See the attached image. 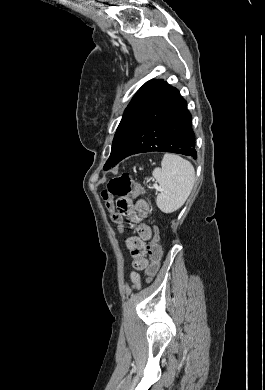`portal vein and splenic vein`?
<instances>
[{
	"label": "portal vein and splenic vein",
	"instance_id": "obj_1",
	"mask_svg": "<svg viewBox=\"0 0 265 390\" xmlns=\"http://www.w3.org/2000/svg\"><path fill=\"white\" fill-rule=\"evenodd\" d=\"M154 188L158 189V186H157V184H154Z\"/></svg>",
	"mask_w": 265,
	"mask_h": 390
}]
</instances>
